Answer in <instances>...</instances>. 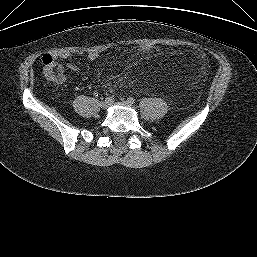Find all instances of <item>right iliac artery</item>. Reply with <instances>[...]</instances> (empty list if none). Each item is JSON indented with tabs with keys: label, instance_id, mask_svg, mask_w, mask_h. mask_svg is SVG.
Masks as SVG:
<instances>
[{
	"label": "right iliac artery",
	"instance_id": "right-iliac-artery-1",
	"mask_svg": "<svg viewBox=\"0 0 257 257\" xmlns=\"http://www.w3.org/2000/svg\"><path fill=\"white\" fill-rule=\"evenodd\" d=\"M105 101L108 102V103H113V102H114V98L111 97V96H109V97H107V98L105 99Z\"/></svg>",
	"mask_w": 257,
	"mask_h": 257
}]
</instances>
